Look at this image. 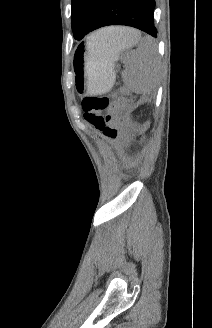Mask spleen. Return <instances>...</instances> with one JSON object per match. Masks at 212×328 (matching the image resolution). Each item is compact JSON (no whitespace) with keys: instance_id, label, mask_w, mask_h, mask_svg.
I'll list each match as a JSON object with an SVG mask.
<instances>
[{"instance_id":"spleen-1","label":"spleen","mask_w":212,"mask_h":328,"mask_svg":"<svg viewBox=\"0 0 212 328\" xmlns=\"http://www.w3.org/2000/svg\"><path fill=\"white\" fill-rule=\"evenodd\" d=\"M107 29L93 33L88 38L87 46L95 53L104 52L117 60L119 49L110 46ZM138 42L137 49L128 53L124 60L126 70L123 73V81L135 93L148 95L154 91L159 82V58L151 37L141 38L139 34L136 39V43Z\"/></svg>"}]
</instances>
